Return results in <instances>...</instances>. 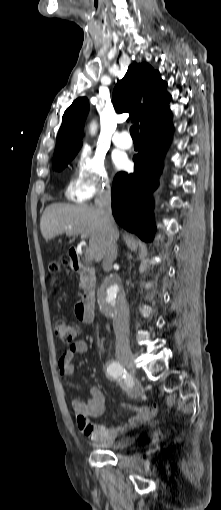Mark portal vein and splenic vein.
<instances>
[{
	"label": "portal vein and splenic vein",
	"instance_id": "obj_1",
	"mask_svg": "<svg viewBox=\"0 0 221 510\" xmlns=\"http://www.w3.org/2000/svg\"><path fill=\"white\" fill-rule=\"evenodd\" d=\"M80 234H81V238H82V239H86V238H87V234H86V233H80ZM93 258H94V252H93V250H92V249H90V248L86 249V251H85V259H86L87 261H92V260H93Z\"/></svg>",
	"mask_w": 221,
	"mask_h": 510
}]
</instances>
